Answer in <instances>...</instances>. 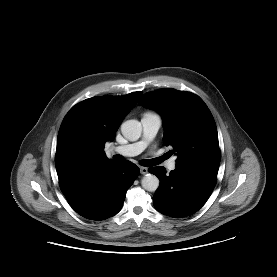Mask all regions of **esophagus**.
<instances>
[{
    "mask_svg": "<svg viewBox=\"0 0 277 277\" xmlns=\"http://www.w3.org/2000/svg\"><path fill=\"white\" fill-rule=\"evenodd\" d=\"M148 168L147 167H140V172H141V174H143V175H145V174H147L148 173Z\"/></svg>",
    "mask_w": 277,
    "mask_h": 277,
    "instance_id": "obj_1",
    "label": "esophagus"
}]
</instances>
